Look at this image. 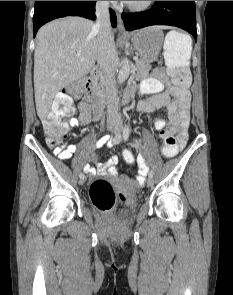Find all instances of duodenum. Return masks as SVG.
<instances>
[{
	"label": "duodenum",
	"mask_w": 233,
	"mask_h": 295,
	"mask_svg": "<svg viewBox=\"0 0 233 295\" xmlns=\"http://www.w3.org/2000/svg\"><path fill=\"white\" fill-rule=\"evenodd\" d=\"M99 75V69L97 67L90 71V74L86 83V90L88 100L92 104L93 113L97 116L101 114L103 106V98L97 88V78Z\"/></svg>",
	"instance_id": "1"
}]
</instances>
